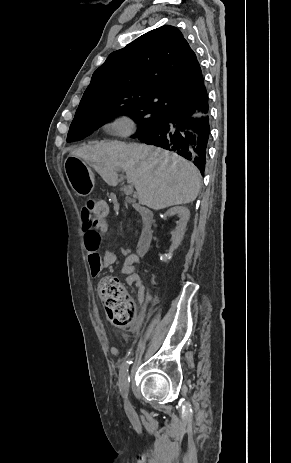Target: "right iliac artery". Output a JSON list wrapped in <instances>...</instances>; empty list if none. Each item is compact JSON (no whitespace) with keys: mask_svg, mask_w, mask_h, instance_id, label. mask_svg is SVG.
I'll use <instances>...</instances> for the list:
<instances>
[{"mask_svg":"<svg viewBox=\"0 0 291 463\" xmlns=\"http://www.w3.org/2000/svg\"><path fill=\"white\" fill-rule=\"evenodd\" d=\"M132 360L129 359L127 360L123 366L121 367L120 370V377H119V382H120V387H121V393L124 395L125 392L128 390L129 382H130V377L128 374V369L129 366L132 364Z\"/></svg>","mask_w":291,"mask_h":463,"instance_id":"right-iliac-artery-1","label":"right iliac artery"}]
</instances>
